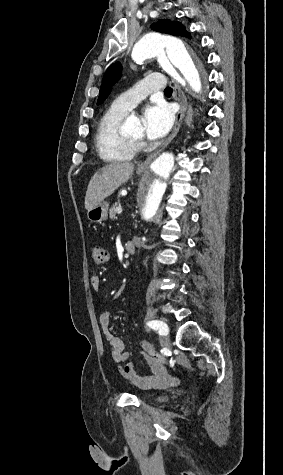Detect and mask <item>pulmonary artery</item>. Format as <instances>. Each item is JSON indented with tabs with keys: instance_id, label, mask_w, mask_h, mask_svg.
Returning a JSON list of instances; mask_svg holds the SVG:
<instances>
[{
	"instance_id": "1",
	"label": "pulmonary artery",
	"mask_w": 283,
	"mask_h": 475,
	"mask_svg": "<svg viewBox=\"0 0 283 475\" xmlns=\"http://www.w3.org/2000/svg\"><path fill=\"white\" fill-rule=\"evenodd\" d=\"M167 80H136L135 87H127L126 93L118 96L113 106L116 108L130 111L135 107L145 96H153L155 89H167Z\"/></svg>"
}]
</instances>
